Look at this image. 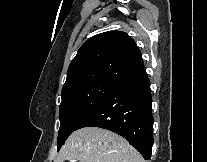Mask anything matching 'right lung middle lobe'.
I'll return each mask as SVG.
<instances>
[{
    "label": "right lung middle lobe",
    "mask_w": 207,
    "mask_h": 162,
    "mask_svg": "<svg viewBox=\"0 0 207 162\" xmlns=\"http://www.w3.org/2000/svg\"><path fill=\"white\" fill-rule=\"evenodd\" d=\"M114 85L95 84L79 87L62 93L60 104V129L58 132V150L76 130L79 123L105 98Z\"/></svg>",
    "instance_id": "right-lung-middle-lobe-1"
}]
</instances>
